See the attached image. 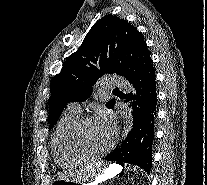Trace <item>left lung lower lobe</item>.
I'll list each match as a JSON object with an SVG mask.
<instances>
[{
  "label": "left lung lower lobe",
  "mask_w": 207,
  "mask_h": 185,
  "mask_svg": "<svg viewBox=\"0 0 207 185\" xmlns=\"http://www.w3.org/2000/svg\"><path fill=\"white\" fill-rule=\"evenodd\" d=\"M132 92L120 98L132 99L133 128L125 141L105 157V160L137 165L148 174L152 166V147L154 141V123L156 119V75L153 64L130 80Z\"/></svg>",
  "instance_id": "obj_1"
}]
</instances>
